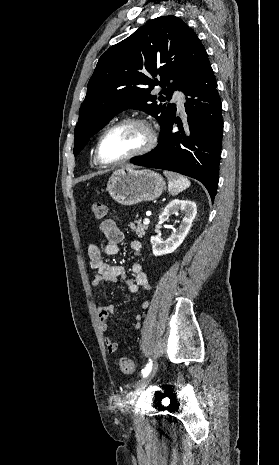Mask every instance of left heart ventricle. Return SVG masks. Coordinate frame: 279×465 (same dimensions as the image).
<instances>
[{"instance_id":"obj_1","label":"left heart ventricle","mask_w":279,"mask_h":465,"mask_svg":"<svg viewBox=\"0 0 279 465\" xmlns=\"http://www.w3.org/2000/svg\"><path fill=\"white\" fill-rule=\"evenodd\" d=\"M147 141L146 130L138 125L117 128L106 135L101 145V157L115 161L140 149Z\"/></svg>"}]
</instances>
